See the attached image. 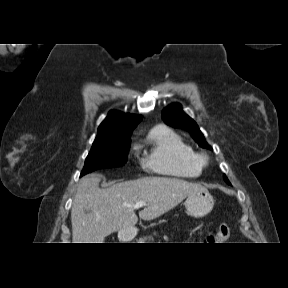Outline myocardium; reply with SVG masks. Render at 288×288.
Returning a JSON list of instances; mask_svg holds the SVG:
<instances>
[{
  "mask_svg": "<svg viewBox=\"0 0 288 288\" xmlns=\"http://www.w3.org/2000/svg\"><path fill=\"white\" fill-rule=\"evenodd\" d=\"M197 159L202 166H205L208 163V157L204 154H197Z\"/></svg>",
  "mask_w": 288,
  "mask_h": 288,
  "instance_id": "myocardium-1",
  "label": "myocardium"
}]
</instances>
